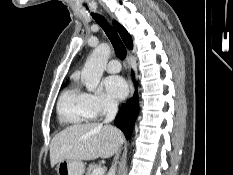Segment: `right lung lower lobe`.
I'll return each mask as SVG.
<instances>
[{
  "label": "right lung lower lobe",
  "instance_id": "right-lung-lower-lobe-1",
  "mask_svg": "<svg viewBox=\"0 0 233 175\" xmlns=\"http://www.w3.org/2000/svg\"><path fill=\"white\" fill-rule=\"evenodd\" d=\"M138 111V96L136 92L133 98L121 106L115 118V125L123 131L127 139L131 136Z\"/></svg>",
  "mask_w": 233,
  "mask_h": 175
}]
</instances>
